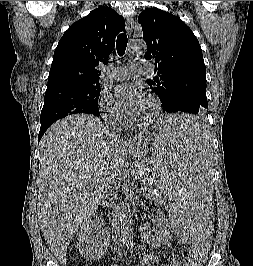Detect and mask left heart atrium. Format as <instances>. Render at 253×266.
<instances>
[{
  "mask_svg": "<svg viewBox=\"0 0 253 266\" xmlns=\"http://www.w3.org/2000/svg\"><path fill=\"white\" fill-rule=\"evenodd\" d=\"M115 96L122 110L132 118L138 117L146 100L143 90L130 84L118 85Z\"/></svg>",
  "mask_w": 253,
  "mask_h": 266,
  "instance_id": "left-heart-atrium-1",
  "label": "left heart atrium"
}]
</instances>
